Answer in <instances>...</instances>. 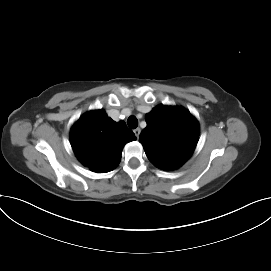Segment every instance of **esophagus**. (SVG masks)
Wrapping results in <instances>:
<instances>
[{"mask_svg":"<svg viewBox=\"0 0 271 271\" xmlns=\"http://www.w3.org/2000/svg\"><path fill=\"white\" fill-rule=\"evenodd\" d=\"M140 132H141L140 128L134 129V134H135V136H136L137 138L139 137Z\"/></svg>","mask_w":271,"mask_h":271,"instance_id":"1","label":"esophagus"}]
</instances>
